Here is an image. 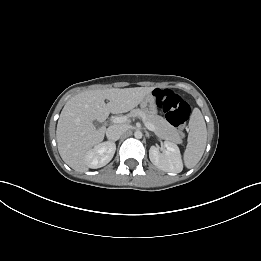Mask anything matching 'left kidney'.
Masks as SVG:
<instances>
[{
	"instance_id": "obj_1",
	"label": "left kidney",
	"mask_w": 261,
	"mask_h": 261,
	"mask_svg": "<svg viewBox=\"0 0 261 261\" xmlns=\"http://www.w3.org/2000/svg\"><path fill=\"white\" fill-rule=\"evenodd\" d=\"M164 147L165 149L160 153L158 147L151 146L149 150L150 161L165 172L180 173L183 170V163L178 146L165 141Z\"/></svg>"
}]
</instances>
